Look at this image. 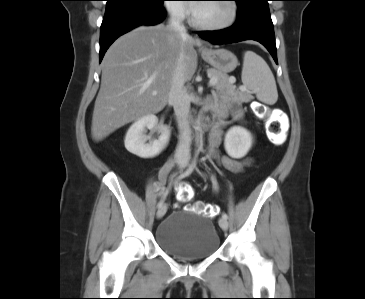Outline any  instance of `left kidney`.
<instances>
[{
  "label": "left kidney",
  "mask_w": 365,
  "mask_h": 299,
  "mask_svg": "<svg viewBox=\"0 0 365 299\" xmlns=\"http://www.w3.org/2000/svg\"><path fill=\"white\" fill-rule=\"evenodd\" d=\"M252 143L251 133L240 126L230 128L225 135V150L230 157L235 159L243 158L250 150Z\"/></svg>",
  "instance_id": "left-kidney-1"
}]
</instances>
